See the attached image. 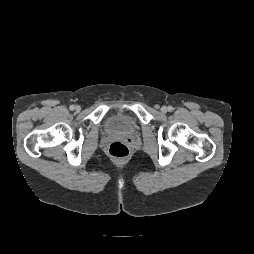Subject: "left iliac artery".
<instances>
[{"label": "left iliac artery", "instance_id": "obj_1", "mask_svg": "<svg viewBox=\"0 0 254 254\" xmlns=\"http://www.w3.org/2000/svg\"><path fill=\"white\" fill-rule=\"evenodd\" d=\"M168 111L172 112L173 111V107L172 106H168Z\"/></svg>", "mask_w": 254, "mask_h": 254}]
</instances>
